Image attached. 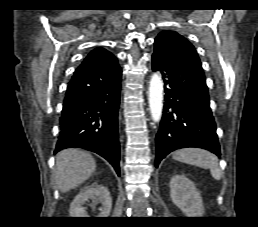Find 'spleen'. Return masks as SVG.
<instances>
[{"instance_id":"obj_1","label":"spleen","mask_w":258,"mask_h":227,"mask_svg":"<svg viewBox=\"0 0 258 227\" xmlns=\"http://www.w3.org/2000/svg\"><path fill=\"white\" fill-rule=\"evenodd\" d=\"M173 158L190 165L199 166L201 168H209L214 179L220 180L221 178L218 158L206 150L186 148L176 151L173 154Z\"/></svg>"}]
</instances>
